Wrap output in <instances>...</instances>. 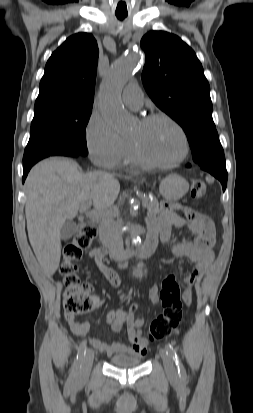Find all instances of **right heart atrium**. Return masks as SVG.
Wrapping results in <instances>:
<instances>
[{"instance_id": "right-heart-atrium-1", "label": "right heart atrium", "mask_w": 253, "mask_h": 413, "mask_svg": "<svg viewBox=\"0 0 253 413\" xmlns=\"http://www.w3.org/2000/svg\"><path fill=\"white\" fill-rule=\"evenodd\" d=\"M86 146L91 161L103 168L117 166L127 148V141L100 114L90 116L85 130Z\"/></svg>"}]
</instances>
